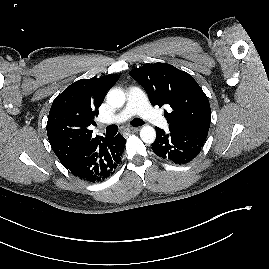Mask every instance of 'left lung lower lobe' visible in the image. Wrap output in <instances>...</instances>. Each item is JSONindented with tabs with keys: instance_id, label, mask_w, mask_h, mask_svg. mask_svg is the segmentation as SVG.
Returning a JSON list of instances; mask_svg holds the SVG:
<instances>
[{
	"instance_id": "obj_1",
	"label": "left lung lower lobe",
	"mask_w": 269,
	"mask_h": 269,
	"mask_svg": "<svg viewBox=\"0 0 269 269\" xmlns=\"http://www.w3.org/2000/svg\"><path fill=\"white\" fill-rule=\"evenodd\" d=\"M157 138L152 144L153 152L175 164H185L195 158L201 151L208 132L204 131H170L156 127Z\"/></svg>"
}]
</instances>
